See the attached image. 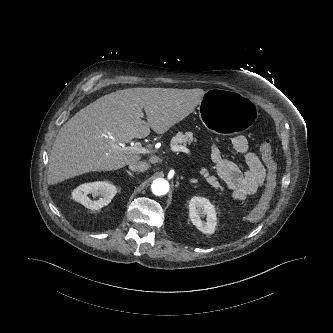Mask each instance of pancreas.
<instances>
[{
  "instance_id": "pancreas-1",
  "label": "pancreas",
  "mask_w": 333,
  "mask_h": 333,
  "mask_svg": "<svg viewBox=\"0 0 333 333\" xmlns=\"http://www.w3.org/2000/svg\"><path fill=\"white\" fill-rule=\"evenodd\" d=\"M196 139L193 137L192 132H178L171 140V146H177L179 144L187 145L191 144L192 142L196 143ZM201 175L204 176L206 181L212 185L214 188H220L223 190V187L220 185V183L217 181V178L215 176L209 175L208 169L202 168L200 170Z\"/></svg>"
}]
</instances>
